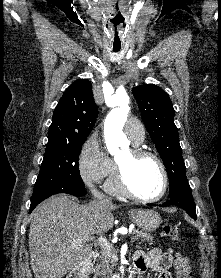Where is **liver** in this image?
Returning <instances> with one entry per match:
<instances>
[{
	"label": "liver",
	"instance_id": "liver-1",
	"mask_svg": "<svg viewBox=\"0 0 221 278\" xmlns=\"http://www.w3.org/2000/svg\"><path fill=\"white\" fill-rule=\"evenodd\" d=\"M119 207L103 200L80 205L64 194L50 197L36 207L29 229L35 278H62L73 270L90 254L94 236L113 227L112 211Z\"/></svg>",
	"mask_w": 221,
	"mask_h": 278
}]
</instances>
